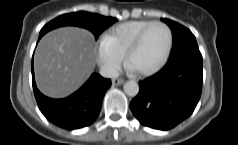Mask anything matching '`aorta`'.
Returning <instances> with one entry per match:
<instances>
[{
    "mask_svg": "<svg viewBox=\"0 0 238 145\" xmlns=\"http://www.w3.org/2000/svg\"><path fill=\"white\" fill-rule=\"evenodd\" d=\"M123 89L130 97H135L139 93V85L135 81H127L124 84Z\"/></svg>",
    "mask_w": 238,
    "mask_h": 145,
    "instance_id": "1",
    "label": "aorta"
}]
</instances>
